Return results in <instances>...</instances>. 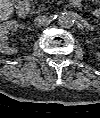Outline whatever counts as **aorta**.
Returning a JSON list of instances; mask_svg holds the SVG:
<instances>
[{
	"instance_id": "1",
	"label": "aorta",
	"mask_w": 100,
	"mask_h": 118,
	"mask_svg": "<svg viewBox=\"0 0 100 118\" xmlns=\"http://www.w3.org/2000/svg\"><path fill=\"white\" fill-rule=\"evenodd\" d=\"M58 22L61 27L69 28L74 24L73 16L68 12H62L58 16Z\"/></svg>"
}]
</instances>
